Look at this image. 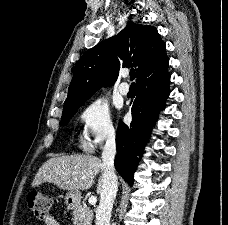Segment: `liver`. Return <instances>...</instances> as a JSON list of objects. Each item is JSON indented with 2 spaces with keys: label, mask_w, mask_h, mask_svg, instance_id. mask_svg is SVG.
Returning <instances> with one entry per match:
<instances>
[{
  "label": "liver",
  "mask_w": 228,
  "mask_h": 225,
  "mask_svg": "<svg viewBox=\"0 0 228 225\" xmlns=\"http://www.w3.org/2000/svg\"><path fill=\"white\" fill-rule=\"evenodd\" d=\"M103 175V163L98 157L91 155H70V157H54L46 161L35 175L32 187L42 183H53L63 191H84L94 185V177ZM85 177V179H82ZM102 177L99 179L97 193H101Z\"/></svg>",
  "instance_id": "obj_1"
}]
</instances>
